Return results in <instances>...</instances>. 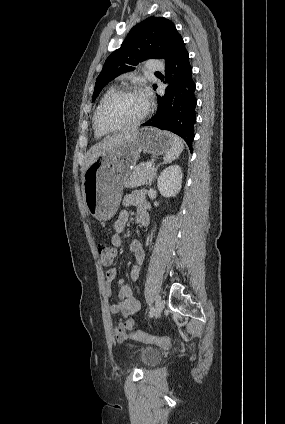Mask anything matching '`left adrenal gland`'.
I'll return each mask as SVG.
<instances>
[{"label":"left adrenal gland","mask_w":285,"mask_h":424,"mask_svg":"<svg viewBox=\"0 0 285 424\" xmlns=\"http://www.w3.org/2000/svg\"><path fill=\"white\" fill-rule=\"evenodd\" d=\"M161 165V163L160 164H158L157 166H156V168H155V174H156V171H157V169H158V167ZM156 176V175H155Z\"/></svg>","instance_id":"left-adrenal-gland-1"}]
</instances>
